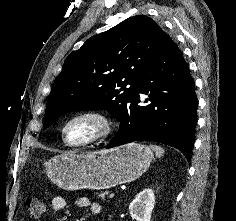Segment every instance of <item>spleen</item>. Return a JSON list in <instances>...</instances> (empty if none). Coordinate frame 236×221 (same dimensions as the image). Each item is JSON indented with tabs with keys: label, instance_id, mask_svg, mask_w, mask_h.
<instances>
[{
	"label": "spleen",
	"instance_id": "spleen-1",
	"mask_svg": "<svg viewBox=\"0 0 236 221\" xmlns=\"http://www.w3.org/2000/svg\"><path fill=\"white\" fill-rule=\"evenodd\" d=\"M151 149L155 152L156 156L161 157L164 154V149L158 145H150Z\"/></svg>",
	"mask_w": 236,
	"mask_h": 221
}]
</instances>
